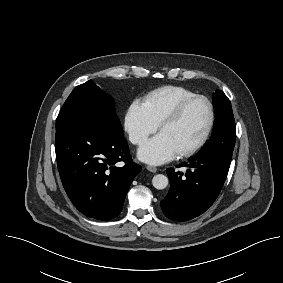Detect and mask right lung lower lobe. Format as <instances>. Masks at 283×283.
<instances>
[{
  "instance_id": "obj_1",
  "label": "right lung lower lobe",
  "mask_w": 283,
  "mask_h": 283,
  "mask_svg": "<svg viewBox=\"0 0 283 283\" xmlns=\"http://www.w3.org/2000/svg\"><path fill=\"white\" fill-rule=\"evenodd\" d=\"M57 166L64 189L84 215L111 220L141 166L130 156L123 130L110 117H87L56 130Z\"/></svg>"
}]
</instances>
